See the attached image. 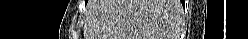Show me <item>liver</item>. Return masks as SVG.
I'll return each instance as SVG.
<instances>
[{
	"label": "liver",
	"mask_w": 249,
	"mask_h": 39,
	"mask_svg": "<svg viewBox=\"0 0 249 39\" xmlns=\"http://www.w3.org/2000/svg\"><path fill=\"white\" fill-rule=\"evenodd\" d=\"M172 29V0L91 2L85 39H166Z\"/></svg>",
	"instance_id": "obj_1"
}]
</instances>
